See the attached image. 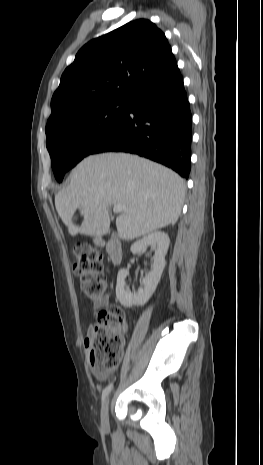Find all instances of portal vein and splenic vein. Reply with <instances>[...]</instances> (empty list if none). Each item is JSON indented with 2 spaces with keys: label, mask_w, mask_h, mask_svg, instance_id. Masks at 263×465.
<instances>
[{
  "label": "portal vein and splenic vein",
  "mask_w": 263,
  "mask_h": 465,
  "mask_svg": "<svg viewBox=\"0 0 263 465\" xmlns=\"http://www.w3.org/2000/svg\"><path fill=\"white\" fill-rule=\"evenodd\" d=\"M124 210H125V207L120 204L114 205L113 207L114 213H120V212H123Z\"/></svg>",
  "instance_id": "18ae733b"
}]
</instances>
